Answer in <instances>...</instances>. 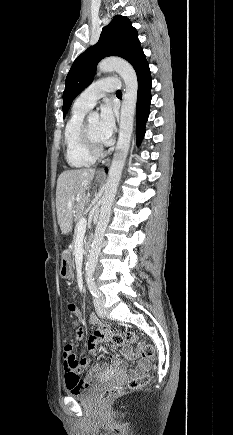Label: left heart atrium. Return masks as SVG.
<instances>
[{"mask_svg":"<svg viewBox=\"0 0 233 435\" xmlns=\"http://www.w3.org/2000/svg\"><path fill=\"white\" fill-rule=\"evenodd\" d=\"M115 132V112L107 102L101 108L99 119V139L103 145L109 144Z\"/></svg>","mask_w":233,"mask_h":435,"instance_id":"obj_1","label":"left heart atrium"}]
</instances>
